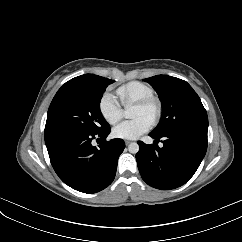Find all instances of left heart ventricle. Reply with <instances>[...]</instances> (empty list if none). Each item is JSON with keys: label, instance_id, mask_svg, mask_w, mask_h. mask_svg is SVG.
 Returning <instances> with one entry per match:
<instances>
[{"label": "left heart ventricle", "instance_id": "left-heart-ventricle-1", "mask_svg": "<svg viewBox=\"0 0 242 242\" xmlns=\"http://www.w3.org/2000/svg\"><path fill=\"white\" fill-rule=\"evenodd\" d=\"M132 117L133 118L144 117L151 121V112L141 107L134 106Z\"/></svg>", "mask_w": 242, "mask_h": 242}]
</instances>
